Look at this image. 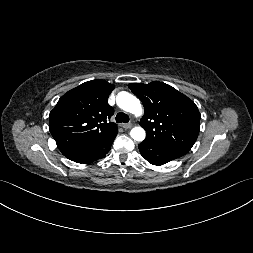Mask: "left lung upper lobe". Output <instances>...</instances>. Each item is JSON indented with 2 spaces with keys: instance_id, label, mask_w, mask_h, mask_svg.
<instances>
[{
  "instance_id": "obj_1",
  "label": "left lung upper lobe",
  "mask_w": 253,
  "mask_h": 253,
  "mask_svg": "<svg viewBox=\"0 0 253 253\" xmlns=\"http://www.w3.org/2000/svg\"><path fill=\"white\" fill-rule=\"evenodd\" d=\"M128 87L144 105L140 125L146 130L145 141L188 152L199 134L201 116L195 103L158 81L130 83Z\"/></svg>"
}]
</instances>
